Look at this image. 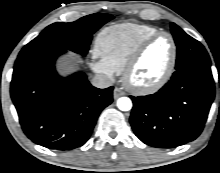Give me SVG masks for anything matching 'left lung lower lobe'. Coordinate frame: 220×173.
Wrapping results in <instances>:
<instances>
[{
    "label": "left lung lower lobe",
    "instance_id": "1",
    "mask_svg": "<svg viewBox=\"0 0 220 173\" xmlns=\"http://www.w3.org/2000/svg\"><path fill=\"white\" fill-rule=\"evenodd\" d=\"M214 95L210 64L175 71L159 92L131 96V126L143 143L153 147L186 144L202 132Z\"/></svg>",
    "mask_w": 220,
    "mask_h": 173
}]
</instances>
